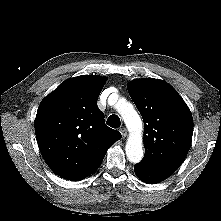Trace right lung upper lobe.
Returning <instances> with one entry per match:
<instances>
[{
    "label": "right lung upper lobe",
    "instance_id": "1",
    "mask_svg": "<svg viewBox=\"0 0 221 221\" xmlns=\"http://www.w3.org/2000/svg\"><path fill=\"white\" fill-rule=\"evenodd\" d=\"M105 78L64 81L41 102L35 133L41 154L57 175L80 181L94 172L121 133L105 125L97 99Z\"/></svg>",
    "mask_w": 221,
    "mask_h": 221
}]
</instances>
